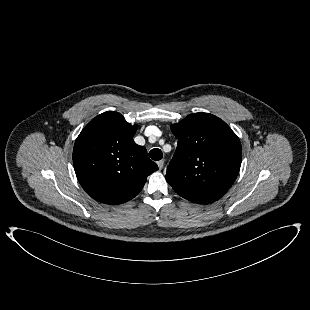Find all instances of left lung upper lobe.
<instances>
[{"instance_id": "1", "label": "left lung upper lobe", "mask_w": 310, "mask_h": 310, "mask_svg": "<svg viewBox=\"0 0 310 310\" xmlns=\"http://www.w3.org/2000/svg\"><path fill=\"white\" fill-rule=\"evenodd\" d=\"M171 131L178 139L166 180L183 198L210 204L224 196L239 173L242 148L232 129L209 113L190 114Z\"/></svg>"}]
</instances>
